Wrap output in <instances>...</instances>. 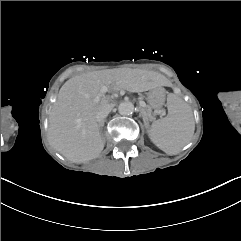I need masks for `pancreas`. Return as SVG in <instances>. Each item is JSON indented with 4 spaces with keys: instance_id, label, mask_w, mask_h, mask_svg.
I'll return each instance as SVG.
<instances>
[{
    "instance_id": "pancreas-1",
    "label": "pancreas",
    "mask_w": 241,
    "mask_h": 241,
    "mask_svg": "<svg viewBox=\"0 0 241 241\" xmlns=\"http://www.w3.org/2000/svg\"><path fill=\"white\" fill-rule=\"evenodd\" d=\"M143 113L145 114L146 117L153 118L150 107H147L145 111L143 110Z\"/></svg>"
}]
</instances>
